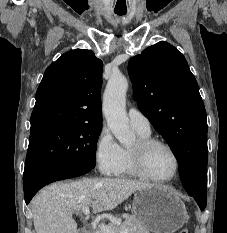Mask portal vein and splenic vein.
Returning <instances> with one entry per match:
<instances>
[{"instance_id": "portal-vein-and-splenic-vein-1", "label": "portal vein and splenic vein", "mask_w": 227, "mask_h": 233, "mask_svg": "<svg viewBox=\"0 0 227 233\" xmlns=\"http://www.w3.org/2000/svg\"><path fill=\"white\" fill-rule=\"evenodd\" d=\"M82 211H83V213H84L86 216H88L89 213H90V210H89V207H88V206L83 207V208H82ZM97 229H98V231H99L98 233H115V231H114L110 226L104 225V224H99V225L97 226ZM127 232H128L127 229H123V230L121 231V233H127Z\"/></svg>"}]
</instances>
